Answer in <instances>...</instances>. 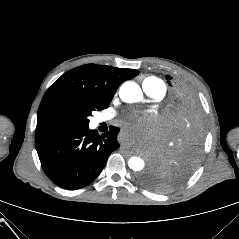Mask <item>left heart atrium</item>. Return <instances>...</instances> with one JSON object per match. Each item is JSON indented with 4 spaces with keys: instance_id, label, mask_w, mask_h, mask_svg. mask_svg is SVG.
Returning <instances> with one entry per match:
<instances>
[{
    "instance_id": "obj_1",
    "label": "left heart atrium",
    "mask_w": 239,
    "mask_h": 239,
    "mask_svg": "<svg viewBox=\"0 0 239 239\" xmlns=\"http://www.w3.org/2000/svg\"><path fill=\"white\" fill-rule=\"evenodd\" d=\"M135 122L125 121L124 126L127 130H140L143 132H149V130L152 128L149 122L146 119V116L144 115H135Z\"/></svg>"
}]
</instances>
